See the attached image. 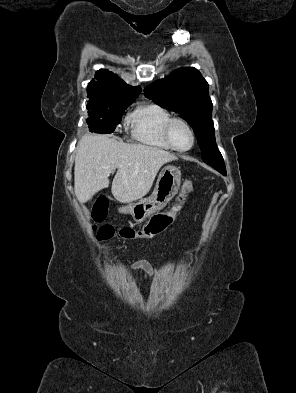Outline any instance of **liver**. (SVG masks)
<instances>
[{
    "label": "liver",
    "mask_w": 296,
    "mask_h": 393,
    "mask_svg": "<svg viewBox=\"0 0 296 393\" xmlns=\"http://www.w3.org/2000/svg\"><path fill=\"white\" fill-rule=\"evenodd\" d=\"M177 157L168 151L142 144H126L108 135L87 134L79 141L74 168V190L80 202L109 186L121 203L136 201L151 189L159 169Z\"/></svg>",
    "instance_id": "liver-1"
}]
</instances>
